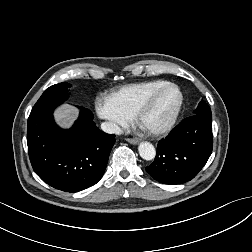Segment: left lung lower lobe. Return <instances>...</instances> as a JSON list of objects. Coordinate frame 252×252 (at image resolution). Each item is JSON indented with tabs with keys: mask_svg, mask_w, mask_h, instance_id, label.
I'll list each match as a JSON object with an SVG mask.
<instances>
[{
	"mask_svg": "<svg viewBox=\"0 0 252 252\" xmlns=\"http://www.w3.org/2000/svg\"><path fill=\"white\" fill-rule=\"evenodd\" d=\"M212 147V116H190L158 143L155 160L146 171L164 184L185 183L203 168Z\"/></svg>",
	"mask_w": 252,
	"mask_h": 252,
	"instance_id": "obj_1",
	"label": "left lung lower lobe"
}]
</instances>
